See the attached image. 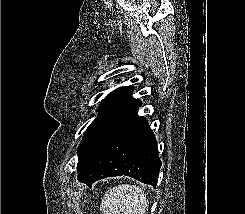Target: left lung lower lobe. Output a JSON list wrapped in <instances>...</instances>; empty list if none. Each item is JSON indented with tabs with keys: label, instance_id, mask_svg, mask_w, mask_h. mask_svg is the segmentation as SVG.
Wrapping results in <instances>:
<instances>
[{
	"label": "left lung lower lobe",
	"instance_id": "left-lung-lower-lobe-1",
	"mask_svg": "<svg viewBox=\"0 0 245 214\" xmlns=\"http://www.w3.org/2000/svg\"><path fill=\"white\" fill-rule=\"evenodd\" d=\"M108 126L79 156L78 181L88 187L110 176H129L155 187L160 172L156 138L136 110Z\"/></svg>",
	"mask_w": 245,
	"mask_h": 214
}]
</instances>
